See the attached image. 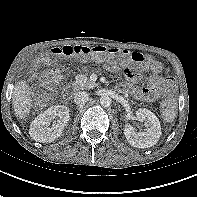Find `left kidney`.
Segmentation results:
<instances>
[{"mask_svg": "<svg viewBox=\"0 0 197 197\" xmlns=\"http://www.w3.org/2000/svg\"><path fill=\"white\" fill-rule=\"evenodd\" d=\"M136 119L140 122H144L146 128L144 132H136L132 125L126 124L124 135L128 143L136 148L154 146L162 134L157 116L148 109L140 108L136 111Z\"/></svg>", "mask_w": 197, "mask_h": 197, "instance_id": "obj_1", "label": "left kidney"}]
</instances>
